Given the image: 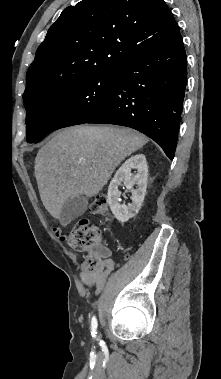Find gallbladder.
<instances>
[{
    "mask_svg": "<svg viewBox=\"0 0 221 379\" xmlns=\"http://www.w3.org/2000/svg\"><path fill=\"white\" fill-rule=\"evenodd\" d=\"M88 197L84 194L69 198L61 208L60 223L69 224L75 218L84 214L87 209Z\"/></svg>",
    "mask_w": 221,
    "mask_h": 379,
    "instance_id": "1",
    "label": "gallbladder"
}]
</instances>
